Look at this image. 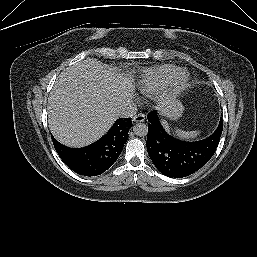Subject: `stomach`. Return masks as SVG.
I'll return each mask as SVG.
<instances>
[{
  "label": "stomach",
  "mask_w": 257,
  "mask_h": 257,
  "mask_svg": "<svg viewBox=\"0 0 257 257\" xmlns=\"http://www.w3.org/2000/svg\"><path fill=\"white\" fill-rule=\"evenodd\" d=\"M157 109L160 111L161 115L176 120L181 117L184 107L180 100L174 96H168L165 98L163 104L159 105Z\"/></svg>",
  "instance_id": "0dacf381"
}]
</instances>
